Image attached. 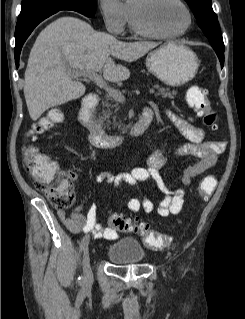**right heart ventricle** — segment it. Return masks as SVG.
<instances>
[{
    "mask_svg": "<svg viewBox=\"0 0 245 319\" xmlns=\"http://www.w3.org/2000/svg\"><path fill=\"white\" fill-rule=\"evenodd\" d=\"M130 3L125 4V9H126V20H127V24L129 26V28L132 31H135L134 26H133V22H132V17H131V9H130Z\"/></svg>",
    "mask_w": 245,
    "mask_h": 319,
    "instance_id": "1",
    "label": "right heart ventricle"
}]
</instances>
